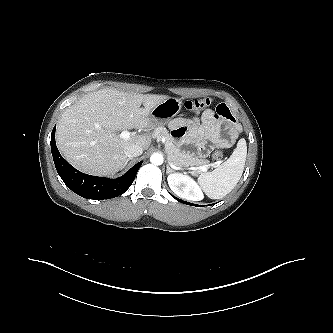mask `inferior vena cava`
Returning <instances> with one entry per match:
<instances>
[{
	"label": "inferior vena cava",
	"instance_id": "1",
	"mask_svg": "<svg viewBox=\"0 0 333 333\" xmlns=\"http://www.w3.org/2000/svg\"><path fill=\"white\" fill-rule=\"evenodd\" d=\"M125 155L129 158L140 156L143 153V149L138 145H130L124 150Z\"/></svg>",
	"mask_w": 333,
	"mask_h": 333
}]
</instances>
